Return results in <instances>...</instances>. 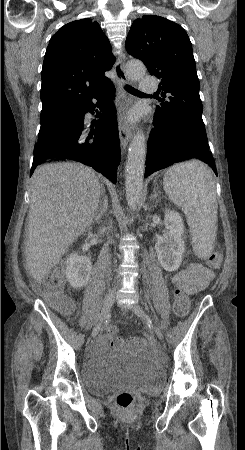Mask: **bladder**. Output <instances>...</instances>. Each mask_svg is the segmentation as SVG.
Wrapping results in <instances>:
<instances>
[{
	"mask_svg": "<svg viewBox=\"0 0 245 450\" xmlns=\"http://www.w3.org/2000/svg\"><path fill=\"white\" fill-rule=\"evenodd\" d=\"M80 369L82 384L96 396L120 388L152 392L163 380L160 369L140 355H103L86 360Z\"/></svg>",
	"mask_w": 245,
	"mask_h": 450,
	"instance_id": "31cf9c89",
	"label": "bladder"
}]
</instances>
